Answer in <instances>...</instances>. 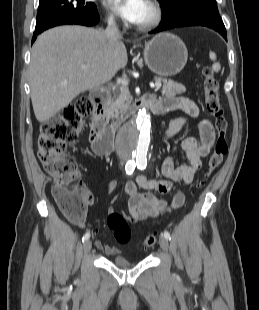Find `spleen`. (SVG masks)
Here are the masks:
<instances>
[{"instance_id":"3e777b00","label":"spleen","mask_w":259,"mask_h":310,"mask_svg":"<svg viewBox=\"0 0 259 310\" xmlns=\"http://www.w3.org/2000/svg\"><path fill=\"white\" fill-rule=\"evenodd\" d=\"M209 57L212 61H214L213 65H212V69L215 71V72H218L220 69H221V65L220 63L218 62H215L216 60V54L214 52H210L209 53Z\"/></svg>"}]
</instances>
